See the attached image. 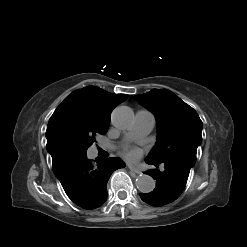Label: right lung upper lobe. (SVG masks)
<instances>
[{
  "instance_id": "obj_1",
  "label": "right lung upper lobe",
  "mask_w": 247,
  "mask_h": 247,
  "mask_svg": "<svg viewBox=\"0 0 247 247\" xmlns=\"http://www.w3.org/2000/svg\"><path fill=\"white\" fill-rule=\"evenodd\" d=\"M127 98L126 94H113L93 86L67 96L56 108L47 126V150L52 162L71 157L62 142V136L68 128L108 130L113 108Z\"/></svg>"
}]
</instances>
